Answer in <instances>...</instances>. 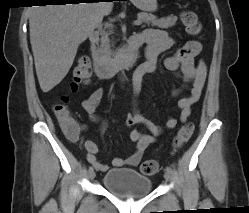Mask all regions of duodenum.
Listing matches in <instances>:
<instances>
[{
	"mask_svg": "<svg viewBox=\"0 0 249 213\" xmlns=\"http://www.w3.org/2000/svg\"><path fill=\"white\" fill-rule=\"evenodd\" d=\"M99 33L93 32L89 36L90 41V64L94 73L101 79L114 76L118 71L131 67L136 60L137 49L140 46L136 36L131 37L124 47L123 51L115 60L103 59L98 53ZM87 62L89 63L88 59ZM141 73L137 72L134 80H140Z\"/></svg>",
	"mask_w": 249,
	"mask_h": 213,
	"instance_id": "410a0bca",
	"label": "duodenum"
}]
</instances>
